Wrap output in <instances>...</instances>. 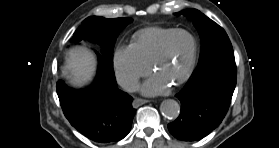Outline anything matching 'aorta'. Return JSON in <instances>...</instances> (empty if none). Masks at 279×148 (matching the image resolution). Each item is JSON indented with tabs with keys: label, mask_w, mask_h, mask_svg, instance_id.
I'll use <instances>...</instances> for the list:
<instances>
[{
	"label": "aorta",
	"mask_w": 279,
	"mask_h": 148,
	"mask_svg": "<svg viewBox=\"0 0 279 148\" xmlns=\"http://www.w3.org/2000/svg\"><path fill=\"white\" fill-rule=\"evenodd\" d=\"M160 110L164 117L174 120L180 114V105L173 99H167L161 103Z\"/></svg>",
	"instance_id": "aorta-1"
}]
</instances>
